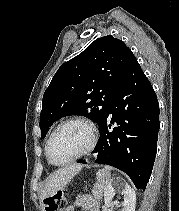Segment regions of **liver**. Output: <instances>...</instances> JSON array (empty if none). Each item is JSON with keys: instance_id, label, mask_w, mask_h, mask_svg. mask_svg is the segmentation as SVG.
Here are the masks:
<instances>
[{"instance_id": "1", "label": "liver", "mask_w": 179, "mask_h": 211, "mask_svg": "<svg viewBox=\"0 0 179 211\" xmlns=\"http://www.w3.org/2000/svg\"><path fill=\"white\" fill-rule=\"evenodd\" d=\"M81 169L82 165L74 164L57 170L47 180L40 198L43 200L62 190Z\"/></svg>"}]
</instances>
